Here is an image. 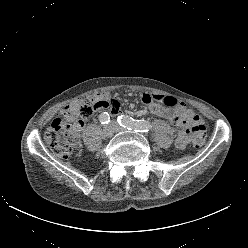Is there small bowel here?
I'll list each match as a JSON object with an SVG mask.
<instances>
[{"label":"small bowel","instance_id":"1","mask_svg":"<svg viewBox=\"0 0 248 248\" xmlns=\"http://www.w3.org/2000/svg\"><path fill=\"white\" fill-rule=\"evenodd\" d=\"M154 96L159 95H150L146 93L141 95V100L145 104L146 108L141 110L139 113L144 114L149 111L152 114L167 119L172 124L180 127L181 131L177 135L176 146L179 149H184L194 134V127L200 123V118L181 102L177 107H167L156 101ZM92 98L100 104L97 109L99 111L108 110L114 114L119 110V101L116 98L111 97L108 93H98L93 95ZM77 105L78 103H74L66 106L62 109L61 114L64 115L67 112L74 110Z\"/></svg>","mask_w":248,"mask_h":248}]
</instances>
